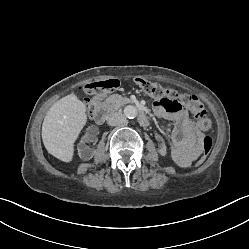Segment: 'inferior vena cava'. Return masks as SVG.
<instances>
[{"label": "inferior vena cava", "instance_id": "obj_1", "mask_svg": "<svg viewBox=\"0 0 249 249\" xmlns=\"http://www.w3.org/2000/svg\"><path fill=\"white\" fill-rule=\"evenodd\" d=\"M127 121L126 117L121 112H114L109 115L107 123L111 126L122 125Z\"/></svg>", "mask_w": 249, "mask_h": 249}]
</instances>
